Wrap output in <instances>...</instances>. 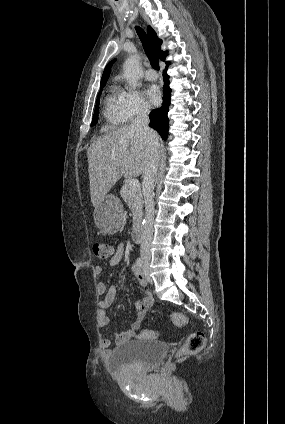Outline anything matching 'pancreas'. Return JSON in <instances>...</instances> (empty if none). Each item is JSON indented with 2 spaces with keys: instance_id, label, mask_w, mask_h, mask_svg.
I'll return each instance as SVG.
<instances>
[{
  "instance_id": "pancreas-1",
  "label": "pancreas",
  "mask_w": 285,
  "mask_h": 424,
  "mask_svg": "<svg viewBox=\"0 0 285 424\" xmlns=\"http://www.w3.org/2000/svg\"><path fill=\"white\" fill-rule=\"evenodd\" d=\"M120 195L132 211L133 226L137 225L143 215V196L141 190L131 191L128 183H125L120 190Z\"/></svg>"
}]
</instances>
